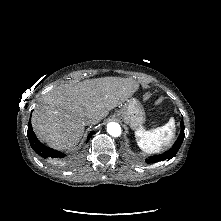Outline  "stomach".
I'll list each match as a JSON object with an SVG mask.
<instances>
[{
	"instance_id": "obj_1",
	"label": "stomach",
	"mask_w": 221,
	"mask_h": 221,
	"mask_svg": "<svg viewBox=\"0 0 221 221\" xmlns=\"http://www.w3.org/2000/svg\"><path fill=\"white\" fill-rule=\"evenodd\" d=\"M116 117L130 125L132 129L139 128L145 122V112L138 100L132 98L121 106Z\"/></svg>"
}]
</instances>
